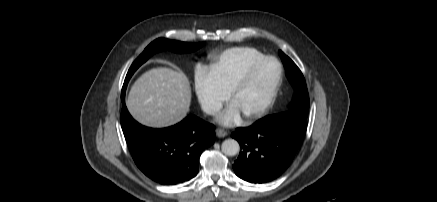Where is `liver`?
<instances>
[{"label":"liver","instance_id":"obj_1","mask_svg":"<svg viewBox=\"0 0 437 202\" xmlns=\"http://www.w3.org/2000/svg\"><path fill=\"white\" fill-rule=\"evenodd\" d=\"M191 88L182 71L153 68L133 84L126 100L132 117L142 125L162 128L181 121L189 111Z\"/></svg>","mask_w":437,"mask_h":202}]
</instances>
